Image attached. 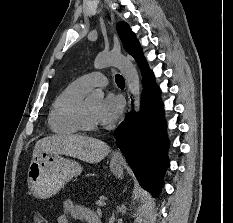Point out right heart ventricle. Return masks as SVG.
Returning <instances> with one entry per match:
<instances>
[{
    "instance_id": "obj_1",
    "label": "right heart ventricle",
    "mask_w": 233,
    "mask_h": 223,
    "mask_svg": "<svg viewBox=\"0 0 233 223\" xmlns=\"http://www.w3.org/2000/svg\"><path fill=\"white\" fill-rule=\"evenodd\" d=\"M88 92L79 80L69 83L55 98L49 116V129L59 136L82 133L79 110Z\"/></svg>"
}]
</instances>
